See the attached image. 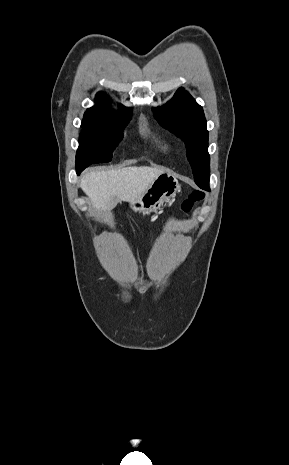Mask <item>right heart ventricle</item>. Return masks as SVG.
<instances>
[{
  "label": "right heart ventricle",
  "mask_w": 289,
  "mask_h": 465,
  "mask_svg": "<svg viewBox=\"0 0 289 465\" xmlns=\"http://www.w3.org/2000/svg\"><path fill=\"white\" fill-rule=\"evenodd\" d=\"M141 132L145 138H147L152 145H154L158 149L165 148V140L158 134L153 133L146 125H143L141 128Z\"/></svg>",
  "instance_id": "obj_1"
}]
</instances>
